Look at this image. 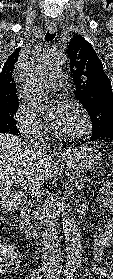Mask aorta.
I'll use <instances>...</instances> for the list:
<instances>
[{
    "instance_id": "762f6f07",
    "label": "aorta",
    "mask_w": 113,
    "mask_h": 279,
    "mask_svg": "<svg viewBox=\"0 0 113 279\" xmlns=\"http://www.w3.org/2000/svg\"><path fill=\"white\" fill-rule=\"evenodd\" d=\"M67 61V56L61 52H53L46 55L44 64L48 70L59 68ZM46 99H43L41 106L44 107ZM62 227L67 246V268L75 269L81 265L82 261V244L81 235L78 231L76 222L70 212L63 214Z\"/></svg>"
}]
</instances>
